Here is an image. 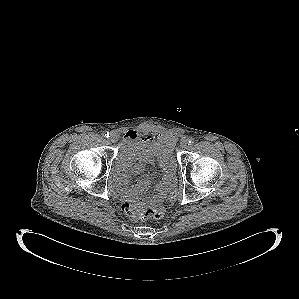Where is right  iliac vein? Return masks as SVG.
<instances>
[{
	"label": "right iliac vein",
	"instance_id": "obj_1",
	"mask_svg": "<svg viewBox=\"0 0 299 299\" xmlns=\"http://www.w3.org/2000/svg\"><path fill=\"white\" fill-rule=\"evenodd\" d=\"M109 140L115 143L118 140L117 135L114 132L110 133Z\"/></svg>",
	"mask_w": 299,
	"mask_h": 299
}]
</instances>
